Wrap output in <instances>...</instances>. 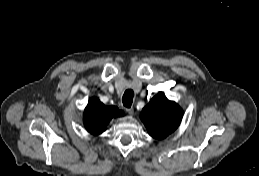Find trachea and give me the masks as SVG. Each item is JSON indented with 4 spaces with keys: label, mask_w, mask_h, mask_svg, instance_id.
<instances>
[{
    "label": "trachea",
    "mask_w": 259,
    "mask_h": 176,
    "mask_svg": "<svg viewBox=\"0 0 259 176\" xmlns=\"http://www.w3.org/2000/svg\"><path fill=\"white\" fill-rule=\"evenodd\" d=\"M134 92L131 89H128L124 92L122 97L123 105L127 108H130L133 102Z\"/></svg>",
    "instance_id": "trachea-1"
}]
</instances>
